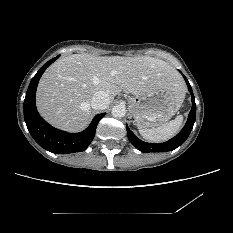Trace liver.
<instances>
[{"mask_svg":"<svg viewBox=\"0 0 233 233\" xmlns=\"http://www.w3.org/2000/svg\"><path fill=\"white\" fill-rule=\"evenodd\" d=\"M161 88L172 90L182 103L184 82L175 68L163 60L73 54L57 60L45 71L37 88L36 104L50 124L77 132L90 122V101L96 92H106L111 102L122 89L133 95H146Z\"/></svg>","mask_w":233,"mask_h":233,"instance_id":"1","label":"liver"}]
</instances>
